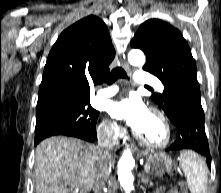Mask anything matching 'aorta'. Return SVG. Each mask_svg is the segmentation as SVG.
I'll return each instance as SVG.
<instances>
[{"instance_id": "1", "label": "aorta", "mask_w": 221, "mask_h": 193, "mask_svg": "<svg viewBox=\"0 0 221 193\" xmlns=\"http://www.w3.org/2000/svg\"><path fill=\"white\" fill-rule=\"evenodd\" d=\"M128 61L131 65L142 67L145 64V55L139 49H132L128 53ZM135 162L130 149H126L118 162V179L126 193L133 189L134 177L131 172Z\"/></svg>"}]
</instances>
